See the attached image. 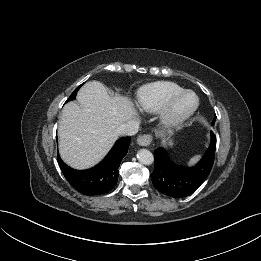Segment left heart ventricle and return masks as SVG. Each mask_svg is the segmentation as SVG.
<instances>
[{
    "instance_id": "obj_1",
    "label": "left heart ventricle",
    "mask_w": 261,
    "mask_h": 261,
    "mask_svg": "<svg viewBox=\"0 0 261 261\" xmlns=\"http://www.w3.org/2000/svg\"><path fill=\"white\" fill-rule=\"evenodd\" d=\"M195 103V98L192 95H186L183 98L179 100V102L176 105V111L177 112H184L191 108L193 104Z\"/></svg>"
}]
</instances>
